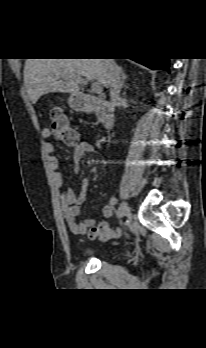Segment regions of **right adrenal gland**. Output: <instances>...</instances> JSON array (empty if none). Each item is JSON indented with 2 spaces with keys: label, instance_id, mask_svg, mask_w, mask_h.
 <instances>
[{
  "label": "right adrenal gland",
  "instance_id": "obj_1",
  "mask_svg": "<svg viewBox=\"0 0 206 348\" xmlns=\"http://www.w3.org/2000/svg\"><path fill=\"white\" fill-rule=\"evenodd\" d=\"M127 75L125 74L123 68L121 67V88L125 87L127 88V86L125 85V81L127 79Z\"/></svg>",
  "mask_w": 206,
  "mask_h": 348
}]
</instances>
